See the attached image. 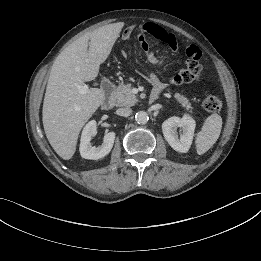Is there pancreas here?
Segmentation results:
<instances>
[{"instance_id": "cf45deb5", "label": "pancreas", "mask_w": 261, "mask_h": 261, "mask_svg": "<svg viewBox=\"0 0 261 261\" xmlns=\"http://www.w3.org/2000/svg\"><path fill=\"white\" fill-rule=\"evenodd\" d=\"M174 97L181 104L182 107H184L189 112H192L193 108L187 97L179 93H175ZM113 99L116 106L120 107L132 106L138 101L136 96L132 93L131 84H120L113 94Z\"/></svg>"}]
</instances>
